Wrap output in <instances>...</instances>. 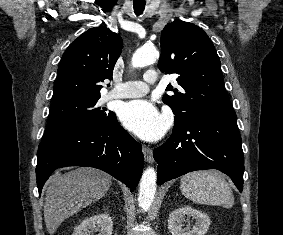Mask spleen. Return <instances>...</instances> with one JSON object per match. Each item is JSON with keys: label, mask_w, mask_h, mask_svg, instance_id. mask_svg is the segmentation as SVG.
Returning <instances> with one entry per match:
<instances>
[{"label": "spleen", "mask_w": 283, "mask_h": 235, "mask_svg": "<svg viewBox=\"0 0 283 235\" xmlns=\"http://www.w3.org/2000/svg\"><path fill=\"white\" fill-rule=\"evenodd\" d=\"M182 194L196 204L231 208L234 196L225 178L217 171H195L181 180Z\"/></svg>", "instance_id": "spleen-1"}]
</instances>
